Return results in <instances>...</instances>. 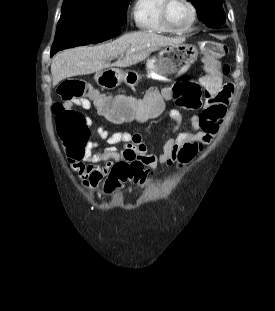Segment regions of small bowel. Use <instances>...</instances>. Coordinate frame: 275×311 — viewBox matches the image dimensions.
Instances as JSON below:
<instances>
[{"label":"small bowel","instance_id":"obj_1","mask_svg":"<svg viewBox=\"0 0 275 311\" xmlns=\"http://www.w3.org/2000/svg\"><path fill=\"white\" fill-rule=\"evenodd\" d=\"M202 84L205 87L206 100L200 108V115L191 116L186 128L182 127V110L196 112V105L177 104V108L169 111V118L174 122L173 136L165 141L159 156L148 152L140 133L129 131L109 133L99 129L98 134L107 145L100 147L97 143L88 144L78 157L69 159L70 169L78 174L85 188L93 190L110 176L114 165L119 162L138 161L150 169L172 165L185 142L209 141L216 134L219 123L227 112V105L234 91L233 84H224L218 72L203 78ZM72 105H78L83 109L91 107V104H72V102H66L64 107L70 108ZM120 144L123 145L121 150L118 148Z\"/></svg>","mask_w":275,"mask_h":311}]
</instances>
